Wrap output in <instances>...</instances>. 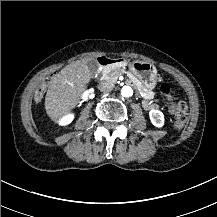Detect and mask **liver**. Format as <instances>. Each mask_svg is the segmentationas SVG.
<instances>
[{
  "mask_svg": "<svg viewBox=\"0 0 217 217\" xmlns=\"http://www.w3.org/2000/svg\"><path fill=\"white\" fill-rule=\"evenodd\" d=\"M89 60H78L65 66L54 76L45 96V111L50 120L62 119L80 103L83 92L92 79Z\"/></svg>",
  "mask_w": 217,
  "mask_h": 217,
  "instance_id": "liver-1",
  "label": "liver"
}]
</instances>
